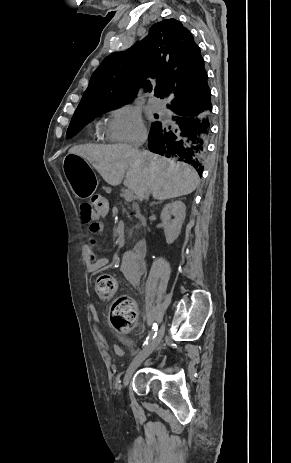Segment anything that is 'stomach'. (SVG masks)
<instances>
[{
	"instance_id": "stomach-1",
	"label": "stomach",
	"mask_w": 291,
	"mask_h": 463,
	"mask_svg": "<svg viewBox=\"0 0 291 463\" xmlns=\"http://www.w3.org/2000/svg\"><path fill=\"white\" fill-rule=\"evenodd\" d=\"M64 173L74 195L80 199L90 197L96 188V178L88 162L70 151L63 162Z\"/></svg>"
}]
</instances>
